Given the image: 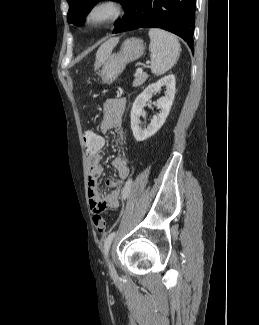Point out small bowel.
Listing matches in <instances>:
<instances>
[{
	"label": "small bowel",
	"instance_id": "small-bowel-1",
	"mask_svg": "<svg viewBox=\"0 0 259 325\" xmlns=\"http://www.w3.org/2000/svg\"><path fill=\"white\" fill-rule=\"evenodd\" d=\"M126 108V100L124 98H111L103 103L102 107V121L101 131L102 133H108L111 130H116L119 134L122 133V117ZM96 135H99L95 133ZM103 139L102 149L105 145V139L102 135H99ZM102 149H86V155L88 159V197L90 208L94 212H102L108 207H118L119 201L123 196L124 187L120 186V181H128L130 177V167L128 161L124 156H117L112 161V166L117 173V178H107L105 185L112 188V191L107 194H101L99 191L98 179L103 173L101 165Z\"/></svg>",
	"mask_w": 259,
	"mask_h": 325
}]
</instances>
